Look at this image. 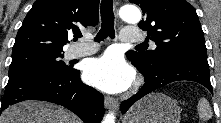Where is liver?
I'll list each match as a JSON object with an SVG mask.
<instances>
[{"label":"liver","mask_w":221,"mask_h":123,"mask_svg":"<svg viewBox=\"0 0 221 123\" xmlns=\"http://www.w3.org/2000/svg\"><path fill=\"white\" fill-rule=\"evenodd\" d=\"M0 123H81L61 106L38 101H24L6 109Z\"/></svg>","instance_id":"1"}]
</instances>
